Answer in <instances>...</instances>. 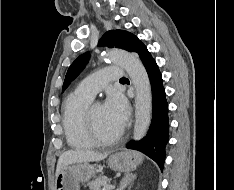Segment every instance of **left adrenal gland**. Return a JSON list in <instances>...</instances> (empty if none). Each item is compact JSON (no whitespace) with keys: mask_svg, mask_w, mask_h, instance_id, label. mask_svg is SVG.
<instances>
[{"mask_svg":"<svg viewBox=\"0 0 234 190\" xmlns=\"http://www.w3.org/2000/svg\"><path fill=\"white\" fill-rule=\"evenodd\" d=\"M136 179V174L128 173L126 174L121 182L117 190H125L128 185H130Z\"/></svg>","mask_w":234,"mask_h":190,"instance_id":"a2214340","label":"left adrenal gland"}]
</instances>
